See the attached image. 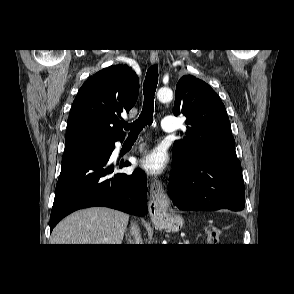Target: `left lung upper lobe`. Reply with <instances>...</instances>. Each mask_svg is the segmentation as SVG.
I'll return each instance as SVG.
<instances>
[{"label": "left lung upper lobe", "instance_id": "1", "mask_svg": "<svg viewBox=\"0 0 294 294\" xmlns=\"http://www.w3.org/2000/svg\"><path fill=\"white\" fill-rule=\"evenodd\" d=\"M174 115H184V140L173 145V155L191 161L197 157L222 156L237 159L229 118L219 95L192 75L180 78L176 86Z\"/></svg>", "mask_w": 294, "mask_h": 294}]
</instances>
